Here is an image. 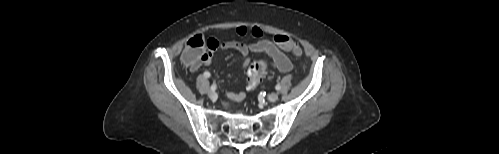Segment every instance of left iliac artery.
Returning <instances> with one entry per match:
<instances>
[{
  "instance_id": "obj_1",
  "label": "left iliac artery",
  "mask_w": 499,
  "mask_h": 154,
  "mask_svg": "<svg viewBox=\"0 0 499 154\" xmlns=\"http://www.w3.org/2000/svg\"><path fill=\"white\" fill-rule=\"evenodd\" d=\"M275 89H276L277 91H279V90L281 89V86L278 84V85H276Z\"/></svg>"
}]
</instances>
